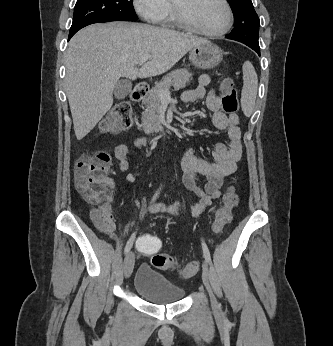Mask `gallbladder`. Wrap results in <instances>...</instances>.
Masks as SVG:
<instances>
[{
    "instance_id": "1",
    "label": "gallbladder",
    "mask_w": 333,
    "mask_h": 346,
    "mask_svg": "<svg viewBox=\"0 0 333 346\" xmlns=\"http://www.w3.org/2000/svg\"><path fill=\"white\" fill-rule=\"evenodd\" d=\"M132 89V84L129 80H121L119 81L113 90L114 96L117 99H124Z\"/></svg>"
}]
</instances>
